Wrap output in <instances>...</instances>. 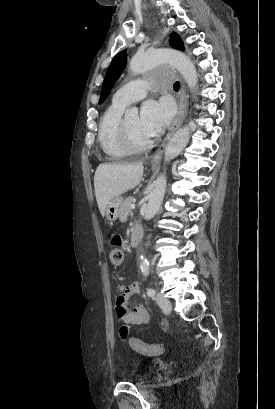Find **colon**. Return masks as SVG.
<instances>
[{
    "mask_svg": "<svg viewBox=\"0 0 275 409\" xmlns=\"http://www.w3.org/2000/svg\"><path fill=\"white\" fill-rule=\"evenodd\" d=\"M122 237L119 233L111 234L108 237V246L111 248V262L114 266H119L124 260V252L121 249ZM129 346L132 350L140 352L142 358H154L159 355V350L162 349V344L159 342H140L136 339L129 338ZM157 351V352H155Z\"/></svg>",
    "mask_w": 275,
    "mask_h": 409,
    "instance_id": "5ec220e1",
    "label": "colon"
}]
</instances>
